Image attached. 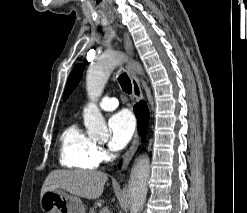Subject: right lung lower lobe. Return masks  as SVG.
I'll return each instance as SVG.
<instances>
[{
	"label": "right lung lower lobe",
	"mask_w": 247,
	"mask_h": 213,
	"mask_svg": "<svg viewBox=\"0 0 247 213\" xmlns=\"http://www.w3.org/2000/svg\"><path fill=\"white\" fill-rule=\"evenodd\" d=\"M134 111L138 121L139 132L141 136L144 137L146 135L149 120L148 108L146 104L143 101H141L137 103V105L134 107Z\"/></svg>",
	"instance_id": "right-lung-lower-lobe-1"
}]
</instances>
